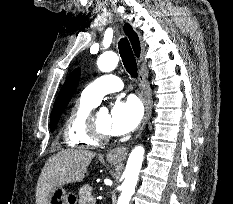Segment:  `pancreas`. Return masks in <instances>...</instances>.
I'll use <instances>...</instances> for the list:
<instances>
[{
  "mask_svg": "<svg viewBox=\"0 0 233 204\" xmlns=\"http://www.w3.org/2000/svg\"><path fill=\"white\" fill-rule=\"evenodd\" d=\"M91 193L92 186L89 184L83 185L78 192L79 204H95V199Z\"/></svg>",
  "mask_w": 233,
  "mask_h": 204,
  "instance_id": "cf45deb5",
  "label": "pancreas"
}]
</instances>
